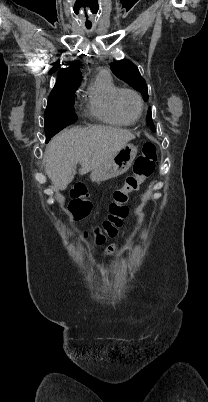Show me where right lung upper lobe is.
<instances>
[{"label": "right lung upper lobe", "mask_w": 208, "mask_h": 402, "mask_svg": "<svg viewBox=\"0 0 208 402\" xmlns=\"http://www.w3.org/2000/svg\"><path fill=\"white\" fill-rule=\"evenodd\" d=\"M82 80L81 72L78 68L73 71L64 69L59 72L57 81L49 96L76 90Z\"/></svg>", "instance_id": "1"}]
</instances>
